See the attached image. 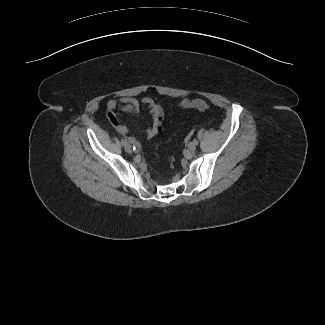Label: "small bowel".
I'll list each match as a JSON object with an SVG mask.
<instances>
[{
	"label": "small bowel",
	"instance_id": "small-bowel-1",
	"mask_svg": "<svg viewBox=\"0 0 325 325\" xmlns=\"http://www.w3.org/2000/svg\"><path fill=\"white\" fill-rule=\"evenodd\" d=\"M148 109L152 115V123L149 129L146 132L147 138H152L155 135L159 134L162 129V123L164 119V110L163 108L156 103L152 98L146 97L142 100H138L134 97H120L119 99H111L107 102V108L109 110V118L116 130L123 135H128L129 131L126 126H124L118 119L117 112L118 110H126L129 113H138L140 107ZM131 142H134L133 137H129Z\"/></svg>",
	"mask_w": 325,
	"mask_h": 325
}]
</instances>
